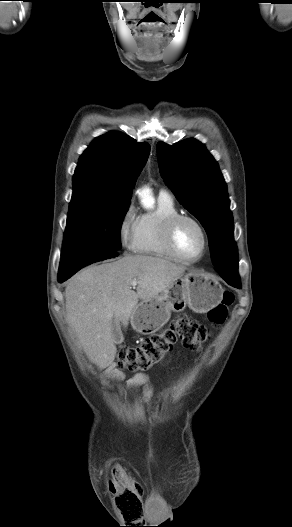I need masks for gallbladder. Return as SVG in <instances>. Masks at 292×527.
<instances>
[{
  "instance_id": "gallbladder-1",
  "label": "gallbladder",
  "mask_w": 292,
  "mask_h": 527,
  "mask_svg": "<svg viewBox=\"0 0 292 527\" xmlns=\"http://www.w3.org/2000/svg\"><path fill=\"white\" fill-rule=\"evenodd\" d=\"M112 334H113V338H114V343L116 345H119L123 342L124 338H123V334L121 332V329L119 327V325L117 324L116 321H113L112 323Z\"/></svg>"
}]
</instances>
